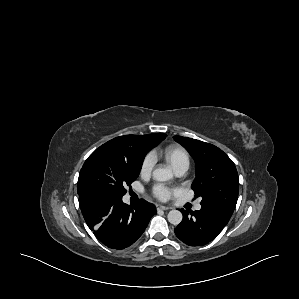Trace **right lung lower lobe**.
Segmentation results:
<instances>
[{
    "label": "right lung lower lobe",
    "instance_id": "98d812e1",
    "mask_svg": "<svg viewBox=\"0 0 299 299\" xmlns=\"http://www.w3.org/2000/svg\"><path fill=\"white\" fill-rule=\"evenodd\" d=\"M79 205L88 227L111 249L132 245L156 213L154 205L143 199L129 206L123 203L122 197L95 192L81 193Z\"/></svg>",
    "mask_w": 299,
    "mask_h": 299
}]
</instances>
